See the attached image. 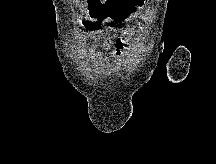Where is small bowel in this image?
<instances>
[{
	"label": "small bowel",
	"instance_id": "1",
	"mask_svg": "<svg viewBox=\"0 0 216 164\" xmlns=\"http://www.w3.org/2000/svg\"><path fill=\"white\" fill-rule=\"evenodd\" d=\"M133 28L129 27L127 28L123 34H122V38L120 41L115 42L114 44V51H113V55L115 57H118L120 55L123 54L124 50H125V45L129 42L130 37L133 34ZM104 47L105 49H111L113 47V42L110 38H107L104 42Z\"/></svg>",
	"mask_w": 216,
	"mask_h": 164
}]
</instances>
